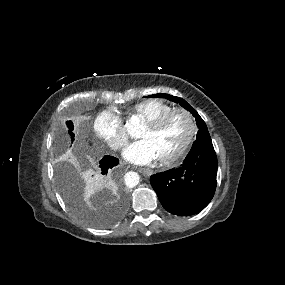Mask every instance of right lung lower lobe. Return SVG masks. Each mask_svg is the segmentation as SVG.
<instances>
[{"mask_svg": "<svg viewBox=\"0 0 285 285\" xmlns=\"http://www.w3.org/2000/svg\"><path fill=\"white\" fill-rule=\"evenodd\" d=\"M118 162L119 160L113 156H108V155L104 156V158L101 159L99 163L100 166L98 168L100 179L101 180L106 179L110 175L114 167L118 165ZM101 174L104 176H102ZM125 202H126L125 197L122 196L121 203L125 205Z\"/></svg>", "mask_w": 285, "mask_h": 285, "instance_id": "98d812e1", "label": "right lung lower lobe"}]
</instances>
